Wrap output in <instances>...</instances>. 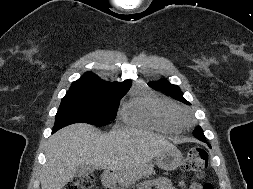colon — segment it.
<instances>
[{
    "mask_svg": "<svg viewBox=\"0 0 253 189\" xmlns=\"http://www.w3.org/2000/svg\"><path fill=\"white\" fill-rule=\"evenodd\" d=\"M208 153L204 148H191L183 161L182 169L188 173L201 175L208 165ZM94 176L86 175L70 182L64 189H93ZM202 189H214L209 182L205 183Z\"/></svg>",
    "mask_w": 253,
    "mask_h": 189,
    "instance_id": "5ec220e1",
    "label": "colon"
}]
</instances>
